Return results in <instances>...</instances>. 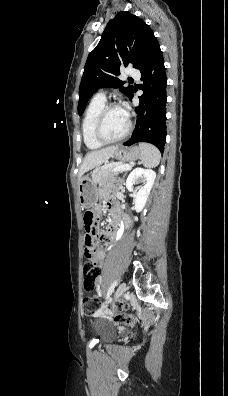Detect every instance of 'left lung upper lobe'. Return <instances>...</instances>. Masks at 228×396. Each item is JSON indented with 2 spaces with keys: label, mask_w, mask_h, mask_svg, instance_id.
Listing matches in <instances>:
<instances>
[{
  "label": "left lung upper lobe",
  "mask_w": 228,
  "mask_h": 396,
  "mask_svg": "<svg viewBox=\"0 0 228 396\" xmlns=\"http://www.w3.org/2000/svg\"><path fill=\"white\" fill-rule=\"evenodd\" d=\"M156 37L142 19L119 12L107 24L100 42L89 54L79 88L78 113L82 115L92 94L101 87L119 88L130 97L133 87L118 79L120 67L132 64L140 69Z\"/></svg>",
  "instance_id": "5c2ea615"
}]
</instances>
